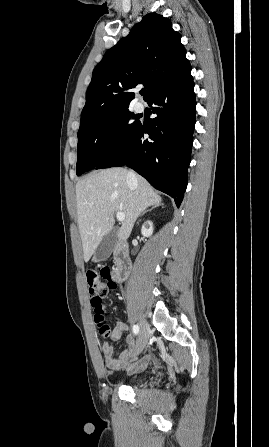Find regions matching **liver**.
Segmentation results:
<instances>
[{"mask_svg": "<svg viewBox=\"0 0 269 447\" xmlns=\"http://www.w3.org/2000/svg\"><path fill=\"white\" fill-rule=\"evenodd\" d=\"M126 168L97 170L76 184L77 222L82 239L84 261H89L103 237L113 229L114 214L123 212L125 220L117 233L127 239L141 212L159 206L162 198L150 184L136 176L127 180Z\"/></svg>", "mask_w": 269, "mask_h": 447, "instance_id": "liver-1", "label": "liver"}]
</instances>
